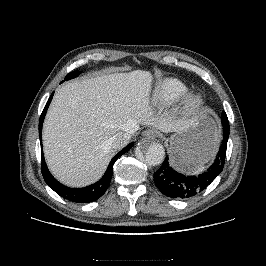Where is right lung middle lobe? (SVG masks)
<instances>
[{
    "mask_svg": "<svg viewBox=\"0 0 266 266\" xmlns=\"http://www.w3.org/2000/svg\"><path fill=\"white\" fill-rule=\"evenodd\" d=\"M77 75H79V72H71L65 77V80L75 78Z\"/></svg>",
    "mask_w": 266,
    "mask_h": 266,
    "instance_id": "1",
    "label": "right lung middle lobe"
}]
</instances>
